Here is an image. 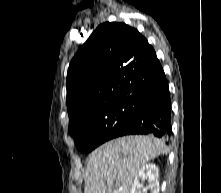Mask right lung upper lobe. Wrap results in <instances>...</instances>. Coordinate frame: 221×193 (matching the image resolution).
Masks as SVG:
<instances>
[{
	"instance_id": "1",
	"label": "right lung upper lobe",
	"mask_w": 221,
	"mask_h": 193,
	"mask_svg": "<svg viewBox=\"0 0 221 193\" xmlns=\"http://www.w3.org/2000/svg\"><path fill=\"white\" fill-rule=\"evenodd\" d=\"M162 69L153 47L125 23L99 25L67 73L69 132L76 123L123 99H140Z\"/></svg>"
}]
</instances>
